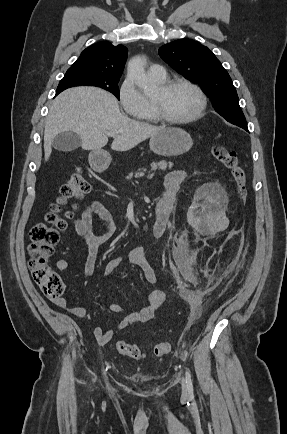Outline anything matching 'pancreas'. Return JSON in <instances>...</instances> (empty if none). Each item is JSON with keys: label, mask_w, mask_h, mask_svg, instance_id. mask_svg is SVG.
I'll list each match as a JSON object with an SVG mask.
<instances>
[{"label": "pancreas", "mask_w": 287, "mask_h": 434, "mask_svg": "<svg viewBox=\"0 0 287 434\" xmlns=\"http://www.w3.org/2000/svg\"><path fill=\"white\" fill-rule=\"evenodd\" d=\"M151 166H152L151 171H155L156 169L166 170L167 167H169V169H171L173 167V163H171V162L167 163L166 161H160V162L152 163ZM133 175L135 178H140V177L144 176V172L141 169H139L134 174L130 173L127 176V179H131L133 177Z\"/></svg>", "instance_id": "1"}]
</instances>
